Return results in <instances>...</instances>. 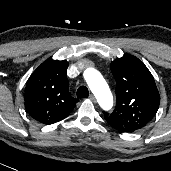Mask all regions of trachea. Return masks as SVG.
Masks as SVG:
<instances>
[{"instance_id":"obj_1","label":"trachea","mask_w":171,"mask_h":171,"mask_svg":"<svg viewBox=\"0 0 171 171\" xmlns=\"http://www.w3.org/2000/svg\"><path fill=\"white\" fill-rule=\"evenodd\" d=\"M77 97L78 98H86L89 96V90L86 86H80L78 89H77Z\"/></svg>"}]
</instances>
